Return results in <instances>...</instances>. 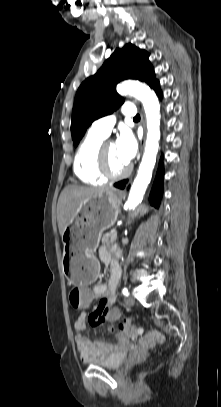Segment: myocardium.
Listing matches in <instances>:
<instances>
[{"mask_svg":"<svg viewBox=\"0 0 221 407\" xmlns=\"http://www.w3.org/2000/svg\"><path fill=\"white\" fill-rule=\"evenodd\" d=\"M111 142L112 141H104L99 148L97 159L98 171L106 180H118L126 177L131 172V166L127 165L126 168L120 172H113L110 169L106 150L108 144Z\"/></svg>","mask_w":221,"mask_h":407,"instance_id":"1","label":"myocardium"}]
</instances>
